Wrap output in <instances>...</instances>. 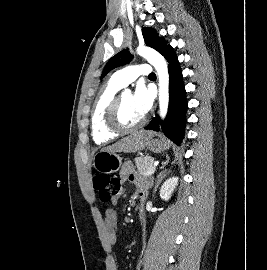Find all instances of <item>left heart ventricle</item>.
<instances>
[{"label":"left heart ventricle","mask_w":267,"mask_h":270,"mask_svg":"<svg viewBox=\"0 0 267 270\" xmlns=\"http://www.w3.org/2000/svg\"><path fill=\"white\" fill-rule=\"evenodd\" d=\"M142 115L136 110L133 98L126 94L121 98L120 118L125 125H134L142 119Z\"/></svg>","instance_id":"1"}]
</instances>
